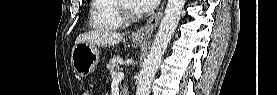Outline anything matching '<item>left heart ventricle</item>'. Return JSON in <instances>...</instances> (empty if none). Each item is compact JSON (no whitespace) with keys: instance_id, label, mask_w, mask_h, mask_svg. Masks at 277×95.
Segmentation results:
<instances>
[{"instance_id":"b2bd125f","label":"left heart ventricle","mask_w":277,"mask_h":95,"mask_svg":"<svg viewBox=\"0 0 277 95\" xmlns=\"http://www.w3.org/2000/svg\"><path fill=\"white\" fill-rule=\"evenodd\" d=\"M129 9H130L131 12H136V11L139 10V7H138L136 1H133V2L129 3Z\"/></svg>"}]
</instances>
